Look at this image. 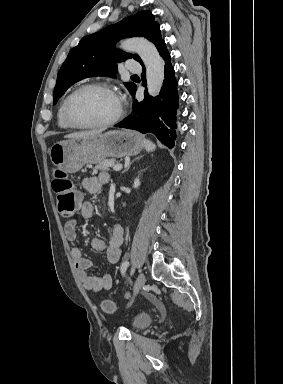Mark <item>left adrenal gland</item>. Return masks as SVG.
Returning <instances> with one entry per match:
<instances>
[{"instance_id":"a2214340","label":"left adrenal gland","mask_w":283,"mask_h":384,"mask_svg":"<svg viewBox=\"0 0 283 384\" xmlns=\"http://www.w3.org/2000/svg\"><path fill=\"white\" fill-rule=\"evenodd\" d=\"M140 158H141V156H140ZM140 158H135V160H140ZM135 160H132V162H130V164H128V166H127L126 170H124V172H127V170H129L131 164H133V162H135ZM124 172H122V174H124Z\"/></svg>"}]
</instances>
